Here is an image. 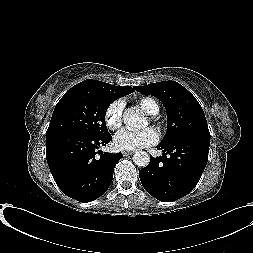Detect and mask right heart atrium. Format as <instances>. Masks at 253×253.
<instances>
[{"instance_id": "right-heart-atrium-1", "label": "right heart atrium", "mask_w": 253, "mask_h": 253, "mask_svg": "<svg viewBox=\"0 0 253 253\" xmlns=\"http://www.w3.org/2000/svg\"><path fill=\"white\" fill-rule=\"evenodd\" d=\"M124 102L121 99L111 102L105 110L104 120L108 129H118L123 120Z\"/></svg>"}]
</instances>
